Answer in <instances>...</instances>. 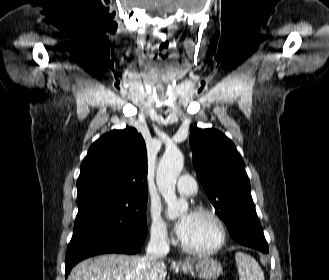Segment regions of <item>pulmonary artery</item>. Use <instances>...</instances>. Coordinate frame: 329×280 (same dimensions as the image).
<instances>
[{"instance_id": "pulmonary-artery-1", "label": "pulmonary artery", "mask_w": 329, "mask_h": 280, "mask_svg": "<svg viewBox=\"0 0 329 280\" xmlns=\"http://www.w3.org/2000/svg\"><path fill=\"white\" fill-rule=\"evenodd\" d=\"M196 188V182L190 175H182L177 181V189L182 195H193Z\"/></svg>"}]
</instances>
